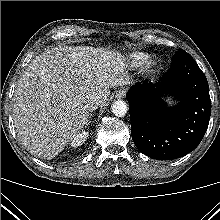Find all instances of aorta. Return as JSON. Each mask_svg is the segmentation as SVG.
I'll list each match as a JSON object with an SVG mask.
<instances>
[{"label":"aorta","instance_id":"762f6f07","mask_svg":"<svg viewBox=\"0 0 220 220\" xmlns=\"http://www.w3.org/2000/svg\"><path fill=\"white\" fill-rule=\"evenodd\" d=\"M112 112L117 117H123L126 115L128 107L122 100L115 101L111 106Z\"/></svg>","mask_w":220,"mask_h":220}]
</instances>
